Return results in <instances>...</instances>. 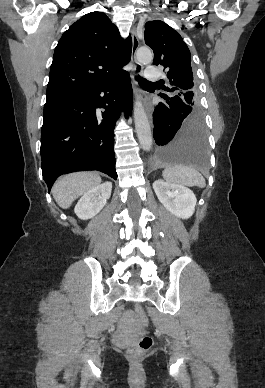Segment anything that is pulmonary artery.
Returning a JSON list of instances; mask_svg holds the SVG:
<instances>
[{
  "label": "pulmonary artery",
  "mask_w": 265,
  "mask_h": 388,
  "mask_svg": "<svg viewBox=\"0 0 265 388\" xmlns=\"http://www.w3.org/2000/svg\"><path fill=\"white\" fill-rule=\"evenodd\" d=\"M158 69L157 64H148L147 72L142 73L143 79H149V82H158L159 77L156 75Z\"/></svg>",
  "instance_id": "pulmonary-artery-1"
}]
</instances>
